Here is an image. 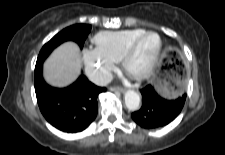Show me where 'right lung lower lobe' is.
<instances>
[{"instance_id": "obj_1", "label": "right lung lower lobe", "mask_w": 225, "mask_h": 155, "mask_svg": "<svg viewBox=\"0 0 225 155\" xmlns=\"http://www.w3.org/2000/svg\"><path fill=\"white\" fill-rule=\"evenodd\" d=\"M42 64L35 67V92L45 119L68 133L87 128L97 115L98 94L106 88L92 84L84 75L67 88L51 87L42 78Z\"/></svg>"}]
</instances>
